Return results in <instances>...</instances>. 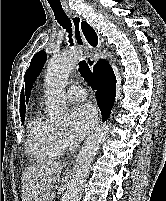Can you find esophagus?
<instances>
[{
    "mask_svg": "<svg viewBox=\"0 0 166 201\" xmlns=\"http://www.w3.org/2000/svg\"><path fill=\"white\" fill-rule=\"evenodd\" d=\"M65 11L71 18L72 25H73V35H74L76 44H77L78 48L80 49L81 53L83 54V56L87 62V65L92 70L93 66L95 64V60H93L91 58V51L89 49L88 42L85 39V37L82 33V30H81L82 18L77 13L72 11L71 9L66 8Z\"/></svg>",
    "mask_w": 166,
    "mask_h": 201,
    "instance_id": "obj_1",
    "label": "esophagus"
}]
</instances>
